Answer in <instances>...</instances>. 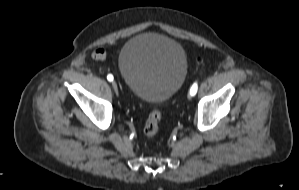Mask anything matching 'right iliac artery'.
Instances as JSON below:
<instances>
[{
    "instance_id": "82829eb1",
    "label": "right iliac artery",
    "mask_w": 299,
    "mask_h": 190,
    "mask_svg": "<svg viewBox=\"0 0 299 190\" xmlns=\"http://www.w3.org/2000/svg\"><path fill=\"white\" fill-rule=\"evenodd\" d=\"M107 79H108V81H113V79H114V77H113V75L112 74H109L108 76H107Z\"/></svg>"
}]
</instances>
